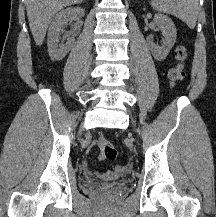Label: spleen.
Returning <instances> with one entry per match:
<instances>
[{
	"label": "spleen",
	"mask_w": 216,
	"mask_h": 217,
	"mask_svg": "<svg viewBox=\"0 0 216 217\" xmlns=\"http://www.w3.org/2000/svg\"><path fill=\"white\" fill-rule=\"evenodd\" d=\"M152 5L164 13L179 18L190 29L195 28L199 10L198 0H152Z\"/></svg>",
	"instance_id": "spleen-1"
}]
</instances>
